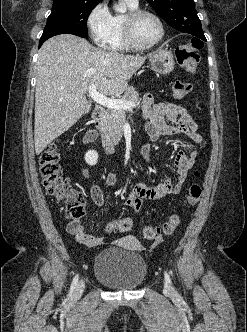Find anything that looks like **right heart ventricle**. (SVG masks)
I'll return each instance as SVG.
<instances>
[{
  "instance_id": "1",
  "label": "right heart ventricle",
  "mask_w": 247,
  "mask_h": 332,
  "mask_svg": "<svg viewBox=\"0 0 247 332\" xmlns=\"http://www.w3.org/2000/svg\"><path fill=\"white\" fill-rule=\"evenodd\" d=\"M125 1L130 10L138 8V4H132L127 0ZM124 16L125 15L122 14L112 15L111 30L105 44V46L108 49L117 50V51H127L132 49L131 47L128 46V44L124 39V34H123Z\"/></svg>"
}]
</instances>
